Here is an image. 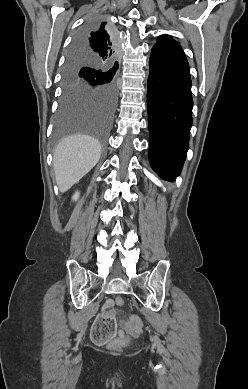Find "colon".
Masks as SVG:
<instances>
[{"instance_id": "1", "label": "colon", "mask_w": 248, "mask_h": 389, "mask_svg": "<svg viewBox=\"0 0 248 389\" xmlns=\"http://www.w3.org/2000/svg\"><path fill=\"white\" fill-rule=\"evenodd\" d=\"M118 306H124L125 300L122 297L116 299ZM98 320L93 323L92 335L95 338L96 344H108V348L112 351H120L129 341L128 337H119L111 340L113 332L116 330L117 324L113 317H106L101 312L97 313Z\"/></svg>"}]
</instances>
